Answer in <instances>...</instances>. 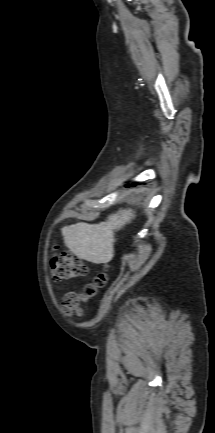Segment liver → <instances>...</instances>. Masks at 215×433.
<instances>
[{
	"mask_svg": "<svg viewBox=\"0 0 215 433\" xmlns=\"http://www.w3.org/2000/svg\"><path fill=\"white\" fill-rule=\"evenodd\" d=\"M135 217L132 209H120L99 224L77 223L62 228L64 242L79 259L108 263L114 256L115 232Z\"/></svg>",
	"mask_w": 215,
	"mask_h": 433,
	"instance_id": "liver-1",
	"label": "liver"
}]
</instances>
